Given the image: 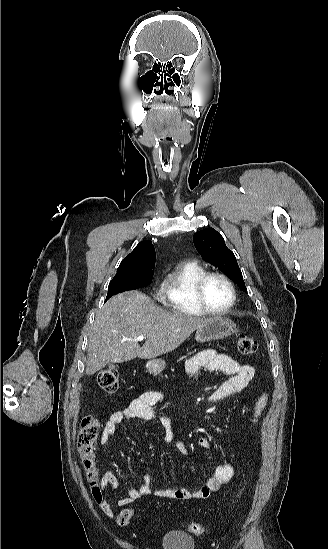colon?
<instances>
[{
  "label": "colon",
  "mask_w": 328,
  "mask_h": 549,
  "mask_svg": "<svg viewBox=\"0 0 328 549\" xmlns=\"http://www.w3.org/2000/svg\"><path fill=\"white\" fill-rule=\"evenodd\" d=\"M237 348L243 355H253L257 352V342L247 334H239L237 337ZM97 382L99 387L108 394H113L118 390L119 380L116 371L106 369L98 374ZM268 403L267 393H263L255 402L251 422L255 425L260 416L262 415L266 405ZM99 433V422L93 416H87L82 420L81 427L77 438V448L82 464L86 471L87 480L90 484L91 492L94 499L99 502L102 497V490L98 481V469L95 459V446ZM245 490V484H243L237 494L239 499ZM135 512L133 508H125L121 510L117 517L116 522L122 527H126L130 524ZM186 528L194 534H202L205 529L203 525L197 522H188Z\"/></svg>",
  "instance_id": "5ec220e1"
}]
</instances>
